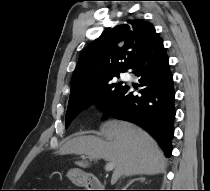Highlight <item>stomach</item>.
I'll use <instances>...</instances> for the list:
<instances>
[{"mask_svg":"<svg viewBox=\"0 0 210 191\" xmlns=\"http://www.w3.org/2000/svg\"><path fill=\"white\" fill-rule=\"evenodd\" d=\"M67 177L78 186H86L88 182V174L78 169L70 170Z\"/></svg>","mask_w":210,"mask_h":191,"instance_id":"1","label":"stomach"}]
</instances>
